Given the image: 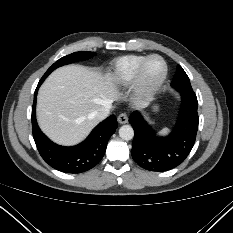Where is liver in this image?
I'll return each mask as SVG.
<instances>
[{
	"mask_svg": "<svg viewBox=\"0 0 233 233\" xmlns=\"http://www.w3.org/2000/svg\"><path fill=\"white\" fill-rule=\"evenodd\" d=\"M119 99L112 74L102 75L81 65L53 71L39 89L37 120L41 130L55 143L72 146L83 141L99 120L92 113ZM136 108L145 102L134 101Z\"/></svg>",
	"mask_w": 233,
	"mask_h": 233,
	"instance_id": "6515ba94",
	"label": "liver"
}]
</instances>
